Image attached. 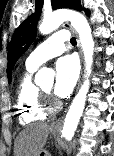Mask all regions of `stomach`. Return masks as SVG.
I'll use <instances>...</instances> for the list:
<instances>
[{"label": "stomach", "mask_w": 114, "mask_h": 156, "mask_svg": "<svg viewBox=\"0 0 114 156\" xmlns=\"http://www.w3.org/2000/svg\"><path fill=\"white\" fill-rule=\"evenodd\" d=\"M49 131H50L51 135L55 136L59 130L52 126V127H50ZM38 156H49V153L47 151L42 150Z\"/></svg>", "instance_id": "obj_1"}]
</instances>
